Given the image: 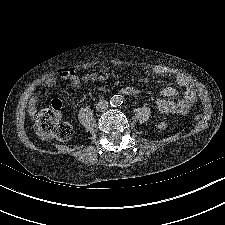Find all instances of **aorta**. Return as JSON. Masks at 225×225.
Segmentation results:
<instances>
[{"mask_svg":"<svg viewBox=\"0 0 225 225\" xmlns=\"http://www.w3.org/2000/svg\"><path fill=\"white\" fill-rule=\"evenodd\" d=\"M122 103V98L120 95H114L111 99H110V105L112 107H118L120 106Z\"/></svg>","mask_w":225,"mask_h":225,"instance_id":"obj_1","label":"aorta"}]
</instances>
